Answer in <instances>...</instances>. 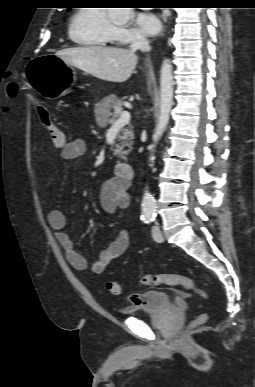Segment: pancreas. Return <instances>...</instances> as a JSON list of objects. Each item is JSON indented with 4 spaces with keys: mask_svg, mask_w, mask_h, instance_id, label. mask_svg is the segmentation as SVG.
I'll use <instances>...</instances> for the list:
<instances>
[{
    "mask_svg": "<svg viewBox=\"0 0 255 387\" xmlns=\"http://www.w3.org/2000/svg\"><path fill=\"white\" fill-rule=\"evenodd\" d=\"M102 106V121L103 126L108 124L113 125L116 120L123 113L122 102L118 100L115 95H109L104 98L97 107ZM113 109V111H111ZM134 138L132 128H123L117 135L118 143L115 145L114 156H117L119 159H126V155L131 150V140ZM125 147H128L129 150H125Z\"/></svg>",
    "mask_w": 255,
    "mask_h": 387,
    "instance_id": "obj_1",
    "label": "pancreas"
}]
</instances>
